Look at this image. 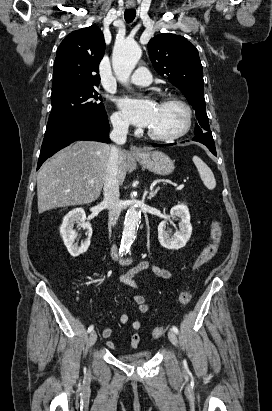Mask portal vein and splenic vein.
Here are the masks:
<instances>
[{"label": "portal vein and splenic vein", "instance_id": "18ae733b", "mask_svg": "<svg viewBox=\"0 0 272 411\" xmlns=\"http://www.w3.org/2000/svg\"><path fill=\"white\" fill-rule=\"evenodd\" d=\"M184 188V184H180L179 186H177V190H181V189H183Z\"/></svg>", "mask_w": 272, "mask_h": 411}]
</instances>
